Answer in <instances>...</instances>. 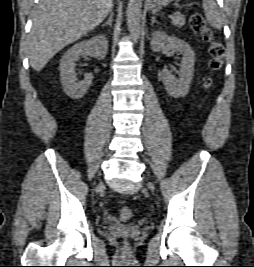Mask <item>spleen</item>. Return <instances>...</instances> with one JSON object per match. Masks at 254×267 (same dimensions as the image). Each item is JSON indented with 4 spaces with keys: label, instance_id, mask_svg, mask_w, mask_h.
I'll list each match as a JSON object with an SVG mask.
<instances>
[{
    "label": "spleen",
    "instance_id": "3e777b00",
    "mask_svg": "<svg viewBox=\"0 0 254 267\" xmlns=\"http://www.w3.org/2000/svg\"><path fill=\"white\" fill-rule=\"evenodd\" d=\"M202 7L209 24L213 28L220 29L222 27V18L215 0H203Z\"/></svg>",
    "mask_w": 254,
    "mask_h": 267
}]
</instances>
